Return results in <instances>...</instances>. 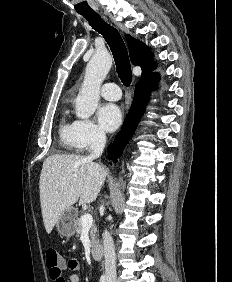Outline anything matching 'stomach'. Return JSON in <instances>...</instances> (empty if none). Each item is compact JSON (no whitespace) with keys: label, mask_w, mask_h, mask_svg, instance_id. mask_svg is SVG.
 I'll use <instances>...</instances> for the list:
<instances>
[{"label":"stomach","mask_w":232,"mask_h":282,"mask_svg":"<svg viewBox=\"0 0 232 282\" xmlns=\"http://www.w3.org/2000/svg\"><path fill=\"white\" fill-rule=\"evenodd\" d=\"M78 212L74 207L66 209L56 222V229L62 237L70 238L76 232Z\"/></svg>","instance_id":"1"}]
</instances>
